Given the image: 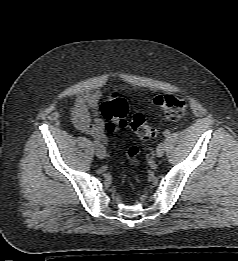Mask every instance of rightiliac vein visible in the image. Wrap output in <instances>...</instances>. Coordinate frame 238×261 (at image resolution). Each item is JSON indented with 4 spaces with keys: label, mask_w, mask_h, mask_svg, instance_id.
Instances as JSON below:
<instances>
[{
    "label": "right iliac vein",
    "mask_w": 238,
    "mask_h": 261,
    "mask_svg": "<svg viewBox=\"0 0 238 261\" xmlns=\"http://www.w3.org/2000/svg\"><path fill=\"white\" fill-rule=\"evenodd\" d=\"M96 155L98 156V158L104 159L106 157V151L103 148H97Z\"/></svg>",
    "instance_id": "right-iliac-vein-1"
}]
</instances>
